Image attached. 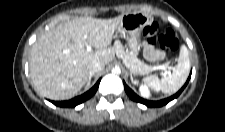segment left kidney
Masks as SVG:
<instances>
[{
    "mask_svg": "<svg viewBox=\"0 0 225 132\" xmlns=\"http://www.w3.org/2000/svg\"><path fill=\"white\" fill-rule=\"evenodd\" d=\"M139 92L142 97L148 98L150 96V91H149L148 87L145 85H141L139 87Z\"/></svg>",
    "mask_w": 225,
    "mask_h": 132,
    "instance_id": "5707ae66",
    "label": "left kidney"
}]
</instances>
